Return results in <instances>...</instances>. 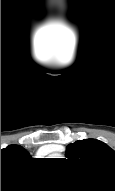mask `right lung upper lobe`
<instances>
[{
	"mask_svg": "<svg viewBox=\"0 0 115 191\" xmlns=\"http://www.w3.org/2000/svg\"><path fill=\"white\" fill-rule=\"evenodd\" d=\"M29 152L20 145H9L1 150V166L20 164L30 159Z\"/></svg>",
	"mask_w": 115,
	"mask_h": 191,
	"instance_id": "right-lung-upper-lobe-1",
	"label": "right lung upper lobe"
}]
</instances>
